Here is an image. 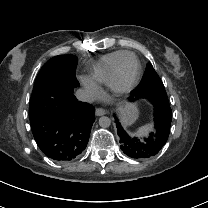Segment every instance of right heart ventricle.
Masks as SVG:
<instances>
[{"label":"right heart ventricle","instance_id":"obj_1","mask_svg":"<svg viewBox=\"0 0 208 208\" xmlns=\"http://www.w3.org/2000/svg\"><path fill=\"white\" fill-rule=\"evenodd\" d=\"M136 56L135 53L128 50H118L100 57L91 66L89 71V78L99 88L112 89V79L114 73L123 61Z\"/></svg>","mask_w":208,"mask_h":208}]
</instances>
